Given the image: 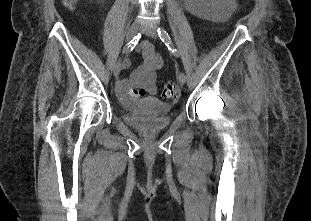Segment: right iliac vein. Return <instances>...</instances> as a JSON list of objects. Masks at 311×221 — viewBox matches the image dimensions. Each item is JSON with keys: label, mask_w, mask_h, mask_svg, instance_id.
<instances>
[{"label": "right iliac vein", "mask_w": 311, "mask_h": 221, "mask_svg": "<svg viewBox=\"0 0 311 221\" xmlns=\"http://www.w3.org/2000/svg\"><path fill=\"white\" fill-rule=\"evenodd\" d=\"M139 28L140 24L138 22H134L133 24H131L126 36L127 41H130L137 34ZM120 71H121V61L119 60L114 67V76L118 77Z\"/></svg>", "instance_id": "obj_1"}]
</instances>
